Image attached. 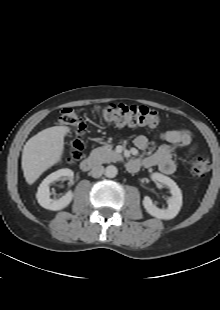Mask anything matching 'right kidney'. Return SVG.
<instances>
[{
  "label": "right kidney",
  "mask_w": 220,
  "mask_h": 310,
  "mask_svg": "<svg viewBox=\"0 0 220 310\" xmlns=\"http://www.w3.org/2000/svg\"><path fill=\"white\" fill-rule=\"evenodd\" d=\"M61 177H66L67 179L73 178V171L65 168L59 169L50 175H48L38 187L36 198L38 203L45 209L58 211L67 207L73 199V193L71 191L67 192L64 196L58 200L50 198L49 186L52 182L58 180Z\"/></svg>",
  "instance_id": "right-kidney-1"
}]
</instances>
